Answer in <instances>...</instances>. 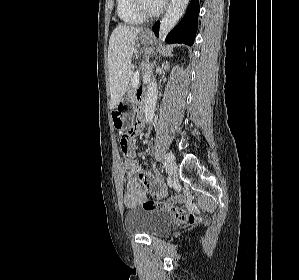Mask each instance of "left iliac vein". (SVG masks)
Returning <instances> with one entry per match:
<instances>
[{"mask_svg": "<svg viewBox=\"0 0 299 280\" xmlns=\"http://www.w3.org/2000/svg\"><path fill=\"white\" fill-rule=\"evenodd\" d=\"M177 169H178L177 164L174 161H172L168 167V173L170 178H174L176 176Z\"/></svg>", "mask_w": 299, "mask_h": 280, "instance_id": "obj_1", "label": "left iliac vein"}]
</instances>
